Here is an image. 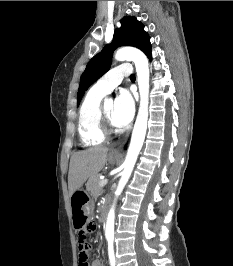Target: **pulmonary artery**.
<instances>
[{
  "mask_svg": "<svg viewBox=\"0 0 233 266\" xmlns=\"http://www.w3.org/2000/svg\"><path fill=\"white\" fill-rule=\"evenodd\" d=\"M132 68L129 64H122L114 67L110 71H108L105 75H103L96 83L95 87L108 94L110 93L116 86H118L124 77H127L131 74Z\"/></svg>",
  "mask_w": 233,
  "mask_h": 266,
  "instance_id": "pulmonary-artery-1",
  "label": "pulmonary artery"
}]
</instances>
